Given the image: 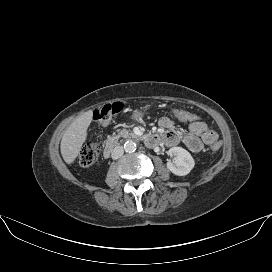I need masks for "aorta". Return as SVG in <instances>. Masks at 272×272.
<instances>
[{"mask_svg": "<svg viewBox=\"0 0 272 272\" xmlns=\"http://www.w3.org/2000/svg\"><path fill=\"white\" fill-rule=\"evenodd\" d=\"M124 149L126 152H134L136 150V143L132 140L126 141L124 144Z\"/></svg>", "mask_w": 272, "mask_h": 272, "instance_id": "aorta-1", "label": "aorta"}]
</instances>
